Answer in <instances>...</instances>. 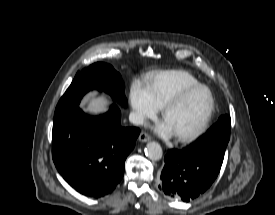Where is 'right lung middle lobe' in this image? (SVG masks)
Returning <instances> with one entry per match:
<instances>
[{"mask_svg":"<svg viewBox=\"0 0 275 215\" xmlns=\"http://www.w3.org/2000/svg\"><path fill=\"white\" fill-rule=\"evenodd\" d=\"M92 89L105 91L114 101H118L124 106L127 104L120 74L111 65L98 62L77 72L71 85L59 100L55 114L77 108L83 95Z\"/></svg>","mask_w":275,"mask_h":215,"instance_id":"dd1d6c3e","label":"right lung middle lobe"}]
</instances>
